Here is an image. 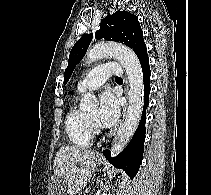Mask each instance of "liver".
Masks as SVG:
<instances>
[{
	"instance_id": "liver-1",
	"label": "liver",
	"mask_w": 211,
	"mask_h": 195,
	"mask_svg": "<svg viewBox=\"0 0 211 195\" xmlns=\"http://www.w3.org/2000/svg\"><path fill=\"white\" fill-rule=\"evenodd\" d=\"M95 153L77 146H62L54 159V175L68 185V193L75 195L87 185L95 171ZM66 188L60 189L65 194Z\"/></svg>"
}]
</instances>
